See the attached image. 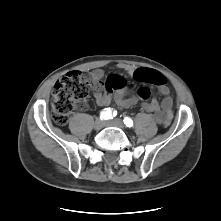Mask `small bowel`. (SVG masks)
<instances>
[{
	"label": "small bowel",
	"mask_w": 221,
	"mask_h": 221,
	"mask_svg": "<svg viewBox=\"0 0 221 221\" xmlns=\"http://www.w3.org/2000/svg\"><path fill=\"white\" fill-rule=\"evenodd\" d=\"M119 68L125 70L128 74L132 76H134V73L138 70L133 66L125 64H120ZM103 78L104 71L102 69H95L90 72L89 75L86 77V80L90 82L95 91V101L99 106L108 105L111 102L112 98L121 107H130L138 102V97L126 96V81L123 77L119 75H112L107 79L106 82L103 81ZM103 88L106 89V93H103L101 91ZM112 89L116 90L113 97L111 95ZM159 93L163 96L161 104H159L156 99H152L151 101L144 102L142 106L147 112L153 114L154 119L157 123L167 125L173 117V99L170 96L169 89L166 85L159 87Z\"/></svg>",
	"instance_id": "c3829d8e"
}]
</instances>
